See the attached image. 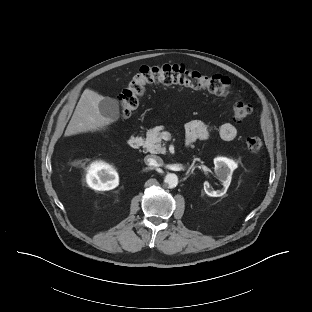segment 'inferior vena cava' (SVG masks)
<instances>
[{"label": "inferior vena cava", "instance_id": "1", "mask_svg": "<svg viewBox=\"0 0 312 312\" xmlns=\"http://www.w3.org/2000/svg\"><path fill=\"white\" fill-rule=\"evenodd\" d=\"M145 164L152 167H160L163 165V160L161 157L156 155H148L144 159Z\"/></svg>", "mask_w": 312, "mask_h": 312}]
</instances>
